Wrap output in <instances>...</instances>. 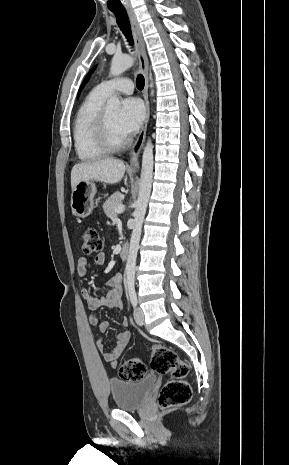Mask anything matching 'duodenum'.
I'll use <instances>...</instances> for the list:
<instances>
[{
    "instance_id": "duodenum-1",
    "label": "duodenum",
    "mask_w": 289,
    "mask_h": 465,
    "mask_svg": "<svg viewBox=\"0 0 289 465\" xmlns=\"http://www.w3.org/2000/svg\"><path fill=\"white\" fill-rule=\"evenodd\" d=\"M129 255V246L128 245H123L121 248L120 256L122 260H126Z\"/></svg>"
}]
</instances>
